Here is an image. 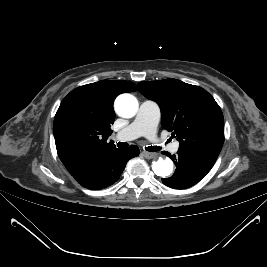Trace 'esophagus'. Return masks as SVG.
Here are the masks:
<instances>
[{
  "label": "esophagus",
  "mask_w": 267,
  "mask_h": 267,
  "mask_svg": "<svg viewBox=\"0 0 267 267\" xmlns=\"http://www.w3.org/2000/svg\"><path fill=\"white\" fill-rule=\"evenodd\" d=\"M143 155H144V157H146L147 159H153V158H155V157L157 156L156 153L146 152V151L143 152Z\"/></svg>",
  "instance_id": "34e87169"
}]
</instances>
